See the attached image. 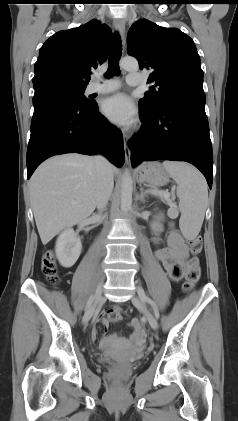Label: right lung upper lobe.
<instances>
[{"label": "right lung upper lobe", "mask_w": 238, "mask_h": 421, "mask_svg": "<svg viewBox=\"0 0 238 421\" xmlns=\"http://www.w3.org/2000/svg\"><path fill=\"white\" fill-rule=\"evenodd\" d=\"M111 30L95 19L45 41L34 65V87L50 83L86 87L90 70L107 60Z\"/></svg>", "instance_id": "obj_1"}]
</instances>
